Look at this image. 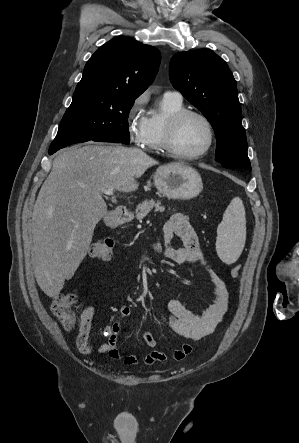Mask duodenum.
<instances>
[{"label":"duodenum","mask_w":299,"mask_h":443,"mask_svg":"<svg viewBox=\"0 0 299 443\" xmlns=\"http://www.w3.org/2000/svg\"><path fill=\"white\" fill-rule=\"evenodd\" d=\"M131 215L130 212L126 209H116L113 211L111 216V222L114 226L121 225L127 221H129Z\"/></svg>","instance_id":"duodenum-1"}]
</instances>
